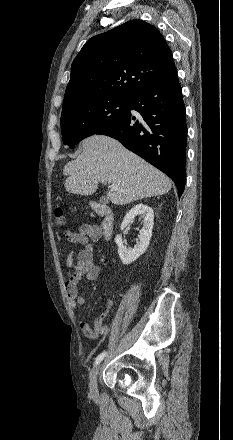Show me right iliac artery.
Segmentation results:
<instances>
[{"instance_id":"right-iliac-artery-1","label":"right iliac artery","mask_w":233,"mask_h":440,"mask_svg":"<svg viewBox=\"0 0 233 440\" xmlns=\"http://www.w3.org/2000/svg\"><path fill=\"white\" fill-rule=\"evenodd\" d=\"M105 356H106V352H102L101 354H99L95 359V364L97 365L98 363H100Z\"/></svg>"}]
</instances>
